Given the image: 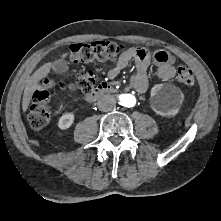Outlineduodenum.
<instances>
[{
    "instance_id": "duodenum-1",
    "label": "duodenum",
    "mask_w": 221,
    "mask_h": 221,
    "mask_svg": "<svg viewBox=\"0 0 221 221\" xmlns=\"http://www.w3.org/2000/svg\"><path fill=\"white\" fill-rule=\"evenodd\" d=\"M115 90L112 86L106 84V83H102L99 86H97L92 93H90L87 96V100L89 101H95L107 94H111L114 93Z\"/></svg>"
}]
</instances>
